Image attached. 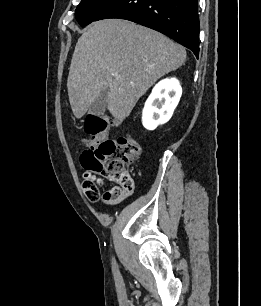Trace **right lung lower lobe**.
<instances>
[{
    "mask_svg": "<svg viewBox=\"0 0 261 306\" xmlns=\"http://www.w3.org/2000/svg\"><path fill=\"white\" fill-rule=\"evenodd\" d=\"M119 18L159 31L199 55L198 0H116L95 21Z\"/></svg>",
    "mask_w": 261,
    "mask_h": 306,
    "instance_id": "1",
    "label": "right lung lower lobe"
}]
</instances>
